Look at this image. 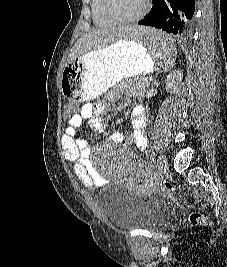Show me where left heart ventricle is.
Returning a JSON list of instances; mask_svg holds the SVG:
<instances>
[{
    "instance_id": "b2bd125f",
    "label": "left heart ventricle",
    "mask_w": 227,
    "mask_h": 267,
    "mask_svg": "<svg viewBox=\"0 0 227 267\" xmlns=\"http://www.w3.org/2000/svg\"><path fill=\"white\" fill-rule=\"evenodd\" d=\"M144 0H113L112 7L121 17H132L140 12Z\"/></svg>"
}]
</instances>
